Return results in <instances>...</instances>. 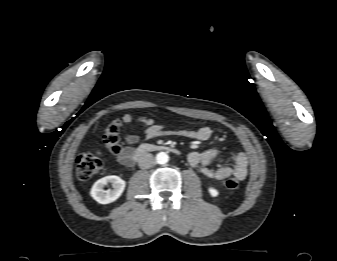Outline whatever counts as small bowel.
Returning a JSON list of instances; mask_svg holds the SVG:
<instances>
[{"instance_id":"obj_1","label":"small bowel","mask_w":337,"mask_h":261,"mask_svg":"<svg viewBox=\"0 0 337 261\" xmlns=\"http://www.w3.org/2000/svg\"><path fill=\"white\" fill-rule=\"evenodd\" d=\"M122 119L125 123L137 121L146 126L142 136L129 133L122 134L126 146L122 149L118 159L120 163L126 166L131 165L135 146L142 140H149L165 135H175L188 139L206 141L212 135V129L207 126L194 130H178L171 132L166 130L164 126L155 124L154 120L149 117L125 114ZM225 154L226 152L221 149L212 148L203 152L192 151L188 154L187 159L189 164L192 167L197 168L204 177L223 180L230 176H235L239 180L245 179L248 172V158L244 152H239L235 155L233 166H222L217 169H213L209 166L211 161Z\"/></svg>"}]
</instances>
